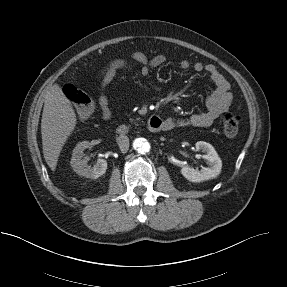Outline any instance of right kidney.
Listing matches in <instances>:
<instances>
[{
    "mask_svg": "<svg viewBox=\"0 0 287 287\" xmlns=\"http://www.w3.org/2000/svg\"><path fill=\"white\" fill-rule=\"evenodd\" d=\"M91 148V143L88 141L80 142L73 150L70 164L73 170L80 176L86 178L97 179L105 174L107 169V162L104 159H98L96 164L91 167L87 165L88 159L84 157V150Z\"/></svg>",
    "mask_w": 287,
    "mask_h": 287,
    "instance_id": "obj_1",
    "label": "right kidney"
}]
</instances>
